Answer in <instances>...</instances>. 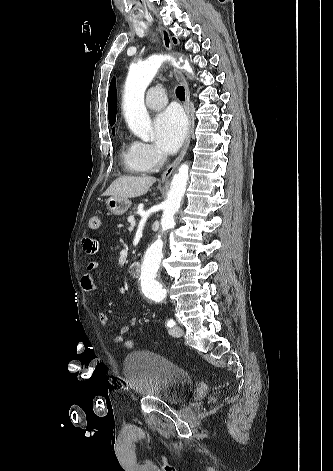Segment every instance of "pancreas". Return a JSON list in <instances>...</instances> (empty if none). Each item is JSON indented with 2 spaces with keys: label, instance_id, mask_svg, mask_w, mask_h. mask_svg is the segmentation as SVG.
<instances>
[{
  "label": "pancreas",
  "instance_id": "obj_1",
  "mask_svg": "<svg viewBox=\"0 0 333 471\" xmlns=\"http://www.w3.org/2000/svg\"><path fill=\"white\" fill-rule=\"evenodd\" d=\"M133 210H134V209H131L130 212H129V214H132Z\"/></svg>",
  "mask_w": 333,
  "mask_h": 471
}]
</instances>
